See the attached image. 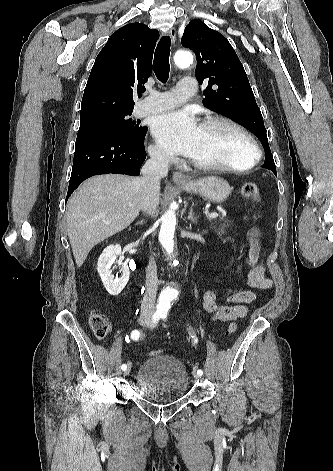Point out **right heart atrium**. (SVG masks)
Masks as SVG:
<instances>
[{
	"instance_id": "1",
	"label": "right heart atrium",
	"mask_w": 333,
	"mask_h": 471,
	"mask_svg": "<svg viewBox=\"0 0 333 471\" xmlns=\"http://www.w3.org/2000/svg\"><path fill=\"white\" fill-rule=\"evenodd\" d=\"M149 151L152 159L160 165L168 166L175 161V157L172 153L157 144L152 145Z\"/></svg>"
}]
</instances>
